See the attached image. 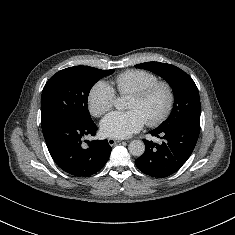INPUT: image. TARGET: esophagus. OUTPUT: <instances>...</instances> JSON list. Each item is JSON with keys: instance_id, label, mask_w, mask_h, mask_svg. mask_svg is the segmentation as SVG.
I'll return each mask as SVG.
<instances>
[{"instance_id": "esophagus-1", "label": "esophagus", "mask_w": 235, "mask_h": 235, "mask_svg": "<svg viewBox=\"0 0 235 235\" xmlns=\"http://www.w3.org/2000/svg\"><path fill=\"white\" fill-rule=\"evenodd\" d=\"M119 142H120V140H118V139L108 138V143L111 146H114V145L118 144Z\"/></svg>"}]
</instances>
